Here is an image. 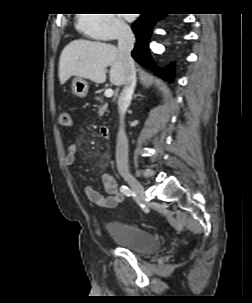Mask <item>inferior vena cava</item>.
<instances>
[{
    "label": "inferior vena cava",
    "mask_w": 252,
    "mask_h": 303,
    "mask_svg": "<svg viewBox=\"0 0 252 303\" xmlns=\"http://www.w3.org/2000/svg\"><path fill=\"white\" fill-rule=\"evenodd\" d=\"M135 37L131 28L126 23L118 25V50L121 60L126 68V81L118 98V112L120 116V128L116 144V164L118 172L122 175L129 173L128 165V140L124 131V117L132 99L136 86V69L131 51L134 47Z\"/></svg>",
    "instance_id": "inferior-vena-cava-1"
}]
</instances>
